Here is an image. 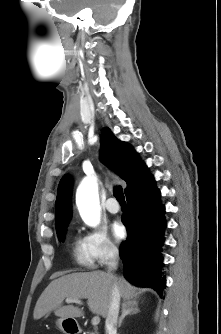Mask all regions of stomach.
I'll return each instance as SVG.
<instances>
[{
	"mask_svg": "<svg viewBox=\"0 0 221 334\" xmlns=\"http://www.w3.org/2000/svg\"><path fill=\"white\" fill-rule=\"evenodd\" d=\"M57 327L63 331L65 334H69L70 330H76L78 325L74 320H68L65 318H60L56 321Z\"/></svg>",
	"mask_w": 221,
	"mask_h": 334,
	"instance_id": "stomach-1",
	"label": "stomach"
}]
</instances>
